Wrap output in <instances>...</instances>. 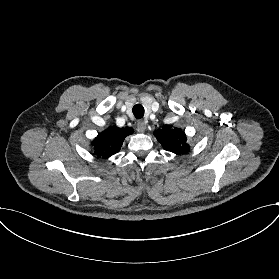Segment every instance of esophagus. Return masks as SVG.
Returning a JSON list of instances; mask_svg holds the SVG:
<instances>
[{"label": "esophagus", "instance_id": "esophagus-1", "mask_svg": "<svg viewBox=\"0 0 279 279\" xmlns=\"http://www.w3.org/2000/svg\"><path fill=\"white\" fill-rule=\"evenodd\" d=\"M147 128V124L143 120L137 122V130L143 133Z\"/></svg>", "mask_w": 279, "mask_h": 279}]
</instances>
